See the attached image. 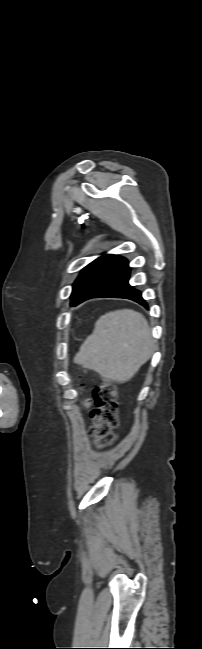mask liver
<instances>
[{"mask_svg":"<svg viewBox=\"0 0 202 649\" xmlns=\"http://www.w3.org/2000/svg\"><path fill=\"white\" fill-rule=\"evenodd\" d=\"M154 351L145 317L131 309L106 313L81 345L74 362L118 383L129 381Z\"/></svg>","mask_w":202,"mask_h":649,"instance_id":"6515ba94","label":"liver"}]
</instances>
